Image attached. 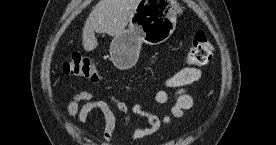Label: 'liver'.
Returning a JSON list of instances; mask_svg holds the SVG:
<instances>
[{
    "instance_id": "liver-1",
    "label": "liver",
    "mask_w": 276,
    "mask_h": 145,
    "mask_svg": "<svg viewBox=\"0 0 276 145\" xmlns=\"http://www.w3.org/2000/svg\"><path fill=\"white\" fill-rule=\"evenodd\" d=\"M139 0H100L85 21L83 47L92 51L98 46L96 33L116 36L125 30Z\"/></svg>"
}]
</instances>
